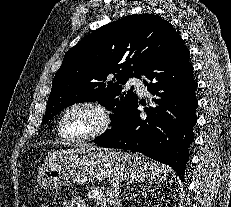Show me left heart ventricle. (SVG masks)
I'll list each match as a JSON object with an SVG mask.
<instances>
[{
    "label": "left heart ventricle",
    "mask_w": 231,
    "mask_h": 207,
    "mask_svg": "<svg viewBox=\"0 0 231 207\" xmlns=\"http://www.w3.org/2000/svg\"><path fill=\"white\" fill-rule=\"evenodd\" d=\"M99 124L98 113L89 107H77L65 118V129L71 137L86 136L96 130Z\"/></svg>",
    "instance_id": "left-heart-ventricle-1"
}]
</instances>
